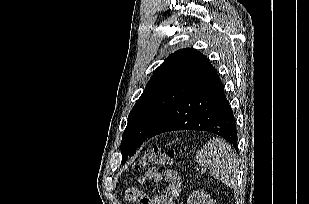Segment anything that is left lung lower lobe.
Returning a JSON list of instances; mask_svg holds the SVG:
<instances>
[{"label": "left lung lower lobe", "mask_w": 309, "mask_h": 204, "mask_svg": "<svg viewBox=\"0 0 309 204\" xmlns=\"http://www.w3.org/2000/svg\"><path fill=\"white\" fill-rule=\"evenodd\" d=\"M175 130L212 132L237 150L236 121L217 74L171 106L146 139Z\"/></svg>", "instance_id": "left-lung-lower-lobe-1"}]
</instances>
